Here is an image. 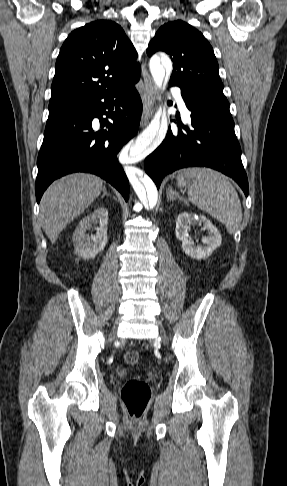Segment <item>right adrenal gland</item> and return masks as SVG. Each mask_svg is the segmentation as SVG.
<instances>
[{
	"label": "right adrenal gland",
	"mask_w": 287,
	"mask_h": 486,
	"mask_svg": "<svg viewBox=\"0 0 287 486\" xmlns=\"http://www.w3.org/2000/svg\"><path fill=\"white\" fill-rule=\"evenodd\" d=\"M104 196H110V194L107 192L105 186L103 187V195H102V197H104Z\"/></svg>",
	"instance_id": "1"
}]
</instances>
